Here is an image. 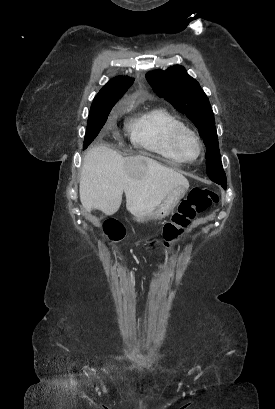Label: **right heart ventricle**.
<instances>
[{"mask_svg":"<svg viewBox=\"0 0 275 409\" xmlns=\"http://www.w3.org/2000/svg\"><path fill=\"white\" fill-rule=\"evenodd\" d=\"M183 127V122L163 108L142 114L127 124L133 145L158 157H175L172 137Z\"/></svg>","mask_w":275,"mask_h":409,"instance_id":"1","label":"right heart ventricle"}]
</instances>
